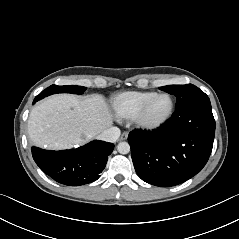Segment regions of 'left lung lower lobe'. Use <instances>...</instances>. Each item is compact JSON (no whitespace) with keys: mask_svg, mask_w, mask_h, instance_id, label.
Wrapping results in <instances>:
<instances>
[{"mask_svg":"<svg viewBox=\"0 0 239 239\" xmlns=\"http://www.w3.org/2000/svg\"><path fill=\"white\" fill-rule=\"evenodd\" d=\"M215 135L208 97L175 109L172 117L153 131L134 130L128 136L138 176L169 187L190 179L207 163Z\"/></svg>","mask_w":239,"mask_h":239,"instance_id":"0a47b994","label":"left lung lower lobe"}]
</instances>
